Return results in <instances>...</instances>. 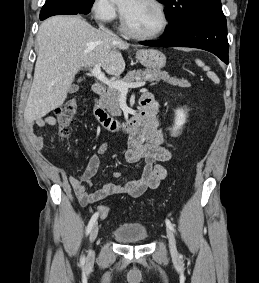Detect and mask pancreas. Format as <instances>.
Segmentation results:
<instances>
[{
  "instance_id": "cf45deb5",
  "label": "pancreas",
  "mask_w": 259,
  "mask_h": 283,
  "mask_svg": "<svg viewBox=\"0 0 259 283\" xmlns=\"http://www.w3.org/2000/svg\"><path fill=\"white\" fill-rule=\"evenodd\" d=\"M140 77H145V80L149 82H158L163 80L166 83L179 87H188L189 83L184 79L171 77L166 71L160 70H133L121 80L125 83H133L138 81ZM121 92L118 89L108 87L107 92L101 97L100 102L112 116H121L122 111L119 106Z\"/></svg>"
}]
</instances>
